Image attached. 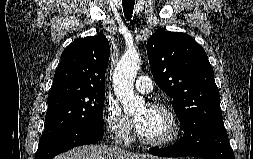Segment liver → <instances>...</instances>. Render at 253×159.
Returning <instances> with one entry per match:
<instances>
[{
  "label": "liver",
  "mask_w": 253,
  "mask_h": 159,
  "mask_svg": "<svg viewBox=\"0 0 253 159\" xmlns=\"http://www.w3.org/2000/svg\"><path fill=\"white\" fill-rule=\"evenodd\" d=\"M146 157L156 158L152 155L135 154L115 147L84 145L73 148L53 159H146Z\"/></svg>",
  "instance_id": "liver-1"
}]
</instances>
